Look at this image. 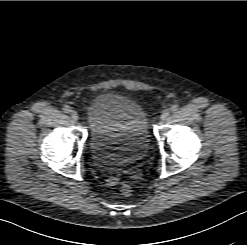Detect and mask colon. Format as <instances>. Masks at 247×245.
Masks as SVG:
<instances>
[{
    "instance_id": "colon-1",
    "label": "colon",
    "mask_w": 247,
    "mask_h": 245,
    "mask_svg": "<svg viewBox=\"0 0 247 245\" xmlns=\"http://www.w3.org/2000/svg\"><path fill=\"white\" fill-rule=\"evenodd\" d=\"M120 191L124 196H130L132 194V188L128 184H122Z\"/></svg>"
}]
</instances>
